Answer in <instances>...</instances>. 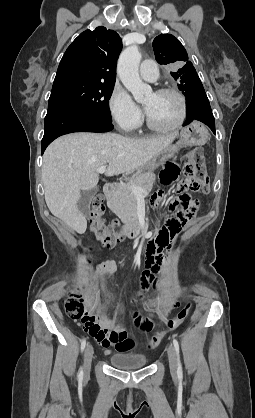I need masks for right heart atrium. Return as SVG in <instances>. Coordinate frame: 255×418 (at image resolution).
Instances as JSON below:
<instances>
[{
    "label": "right heart atrium",
    "instance_id": "obj_1",
    "mask_svg": "<svg viewBox=\"0 0 255 418\" xmlns=\"http://www.w3.org/2000/svg\"><path fill=\"white\" fill-rule=\"evenodd\" d=\"M109 113L116 125L123 131L136 129L142 121V112L131 96L122 88L116 87L108 102Z\"/></svg>",
    "mask_w": 255,
    "mask_h": 418
}]
</instances>
